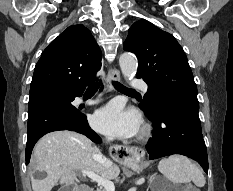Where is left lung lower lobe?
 <instances>
[{
	"label": "left lung lower lobe",
	"mask_w": 233,
	"mask_h": 191,
	"mask_svg": "<svg viewBox=\"0 0 233 191\" xmlns=\"http://www.w3.org/2000/svg\"><path fill=\"white\" fill-rule=\"evenodd\" d=\"M143 111L154 127L153 137L146 145L150 160L182 154L196 160L208 174L198 103L183 98H161L149 111Z\"/></svg>",
	"instance_id": "0a47b994"
}]
</instances>
